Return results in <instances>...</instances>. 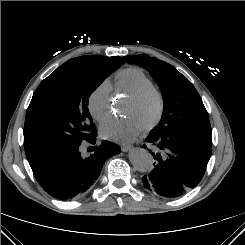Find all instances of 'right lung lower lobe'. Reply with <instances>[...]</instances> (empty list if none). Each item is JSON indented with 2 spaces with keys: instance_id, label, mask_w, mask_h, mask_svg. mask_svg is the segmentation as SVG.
Masks as SVG:
<instances>
[{
  "instance_id": "98d812e1",
  "label": "right lung lower lobe",
  "mask_w": 245,
  "mask_h": 245,
  "mask_svg": "<svg viewBox=\"0 0 245 245\" xmlns=\"http://www.w3.org/2000/svg\"><path fill=\"white\" fill-rule=\"evenodd\" d=\"M96 136L91 137L82 146H89V156L81 154V147L52 154L32 168L40 186L58 199H73L84 195L100 175L102 164L111 155L121 152L119 146L103 141L98 147Z\"/></svg>"
}]
</instances>
